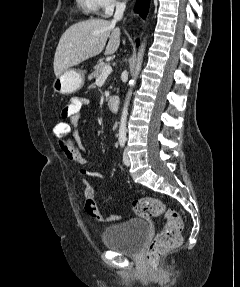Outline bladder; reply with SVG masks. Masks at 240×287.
Here are the masks:
<instances>
[{
	"mask_svg": "<svg viewBox=\"0 0 240 287\" xmlns=\"http://www.w3.org/2000/svg\"><path fill=\"white\" fill-rule=\"evenodd\" d=\"M150 234L148 223L144 219L133 218L121 224L108 226L103 231L105 247L128 256L141 253Z\"/></svg>",
	"mask_w": 240,
	"mask_h": 287,
	"instance_id": "obj_1",
	"label": "bladder"
}]
</instances>
